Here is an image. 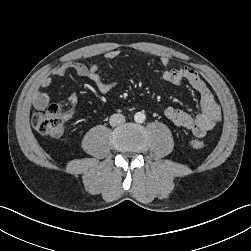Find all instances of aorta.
I'll return each instance as SVG.
<instances>
[{"instance_id":"aorta-1","label":"aorta","mask_w":251,"mask_h":251,"mask_svg":"<svg viewBox=\"0 0 251 251\" xmlns=\"http://www.w3.org/2000/svg\"><path fill=\"white\" fill-rule=\"evenodd\" d=\"M145 119H146V116L143 112H137L134 115V120L137 123H143L145 121Z\"/></svg>"}]
</instances>
